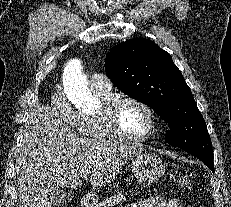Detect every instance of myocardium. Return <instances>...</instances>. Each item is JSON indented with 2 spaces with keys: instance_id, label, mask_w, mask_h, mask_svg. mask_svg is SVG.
<instances>
[{
  "instance_id": "myocardium-1",
  "label": "myocardium",
  "mask_w": 231,
  "mask_h": 207,
  "mask_svg": "<svg viewBox=\"0 0 231 207\" xmlns=\"http://www.w3.org/2000/svg\"><path fill=\"white\" fill-rule=\"evenodd\" d=\"M126 103H135L142 107L149 118L148 132L142 136L133 137L128 135L120 125L118 114L120 108ZM101 115L106 126V129L111 135L121 141L130 143H141L151 139L157 130V116L153 108L145 101L133 96H119L113 98L102 107Z\"/></svg>"
}]
</instances>
